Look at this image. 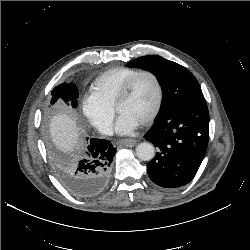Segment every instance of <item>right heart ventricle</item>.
Here are the masks:
<instances>
[{
    "label": "right heart ventricle",
    "instance_id": "1",
    "mask_svg": "<svg viewBox=\"0 0 250 250\" xmlns=\"http://www.w3.org/2000/svg\"><path fill=\"white\" fill-rule=\"evenodd\" d=\"M137 72H139V69L130 67L108 69L98 75L92 82L89 95L102 105L112 108L123 85Z\"/></svg>",
    "mask_w": 250,
    "mask_h": 250
}]
</instances>
